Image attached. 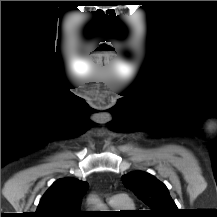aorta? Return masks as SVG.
<instances>
[{
  "label": "aorta",
  "instance_id": "1",
  "mask_svg": "<svg viewBox=\"0 0 217 217\" xmlns=\"http://www.w3.org/2000/svg\"><path fill=\"white\" fill-rule=\"evenodd\" d=\"M89 201L95 205L97 208H102L103 205L100 203L99 199L96 196H91L89 198Z\"/></svg>",
  "mask_w": 217,
  "mask_h": 217
}]
</instances>
